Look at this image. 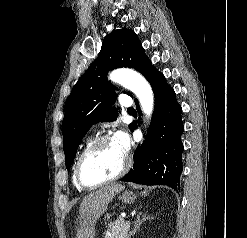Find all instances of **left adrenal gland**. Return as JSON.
Instances as JSON below:
<instances>
[{
	"instance_id": "1",
	"label": "left adrenal gland",
	"mask_w": 247,
	"mask_h": 238,
	"mask_svg": "<svg viewBox=\"0 0 247 238\" xmlns=\"http://www.w3.org/2000/svg\"><path fill=\"white\" fill-rule=\"evenodd\" d=\"M141 215H142V213H139V214L137 215V219H136V221H135V223H134V228H133V230L130 232L129 238H131V236L135 235V233L137 232V230L139 229V227L142 225V223H143L144 221H146V219H149V218H150L149 216H147V217H142V218H141Z\"/></svg>"
}]
</instances>
